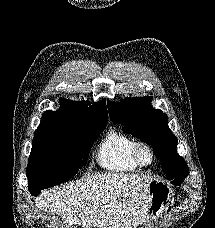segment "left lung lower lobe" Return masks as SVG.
<instances>
[{"label": "left lung lower lobe", "mask_w": 215, "mask_h": 228, "mask_svg": "<svg viewBox=\"0 0 215 228\" xmlns=\"http://www.w3.org/2000/svg\"><path fill=\"white\" fill-rule=\"evenodd\" d=\"M181 183H182V181H180V182H173L174 185H179Z\"/></svg>", "instance_id": "obj_1"}]
</instances>
